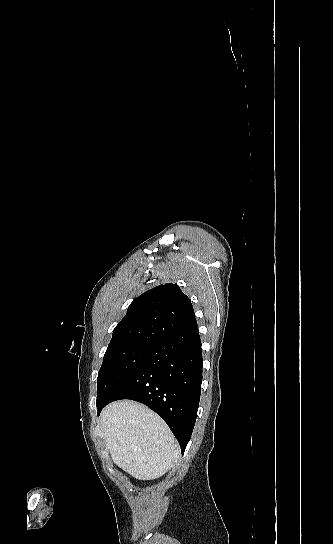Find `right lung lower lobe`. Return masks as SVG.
Wrapping results in <instances>:
<instances>
[{"mask_svg":"<svg viewBox=\"0 0 333 544\" xmlns=\"http://www.w3.org/2000/svg\"><path fill=\"white\" fill-rule=\"evenodd\" d=\"M202 364L197 326L156 342L144 363L97 413L115 400L141 402L165 420L184 453L197 417Z\"/></svg>","mask_w":333,"mask_h":544,"instance_id":"98d812e1","label":"right lung lower lobe"}]
</instances>
